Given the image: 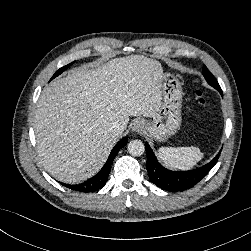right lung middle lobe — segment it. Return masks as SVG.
<instances>
[{
	"label": "right lung middle lobe",
	"mask_w": 251,
	"mask_h": 251,
	"mask_svg": "<svg viewBox=\"0 0 251 251\" xmlns=\"http://www.w3.org/2000/svg\"><path fill=\"white\" fill-rule=\"evenodd\" d=\"M74 62H72V63H70V64H68V65H66V66H63L62 68H60L59 70H57L56 72H55V74L53 75V77L51 78V80L52 79H54L55 77H57L58 75H60L64 70H66L71 64H73Z\"/></svg>",
	"instance_id": "obj_1"
}]
</instances>
